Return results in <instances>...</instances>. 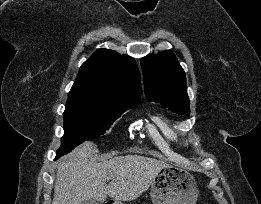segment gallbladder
<instances>
[{"label":"gallbladder","mask_w":261,"mask_h":204,"mask_svg":"<svg viewBox=\"0 0 261 204\" xmlns=\"http://www.w3.org/2000/svg\"><path fill=\"white\" fill-rule=\"evenodd\" d=\"M82 204H99V203L94 199H87Z\"/></svg>","instance_id":"gallbladder-1"}]
</instances>
